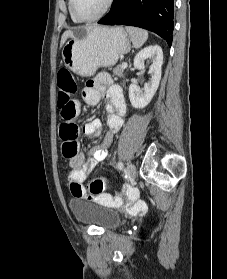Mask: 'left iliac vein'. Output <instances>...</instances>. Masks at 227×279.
Returning <instances> with one entry per match:
<instances>
[{"instance_id": "4c4485c4", "label": "left iliac vein", "mask_w": 227, "mask_h": 279, "mask_svg": "<svg viewBox=\"0 0 227 279\" xmlns=\"http://www.w3.org/2000/svg\"><path fill=\"white\" fill-rule=\"evenodd\" d=\"M126 173L127 175L131 178L134 179L136 176V168L134 166V164L132 163H128L127 167H126Z\"/></svg>"}]
</instances>
